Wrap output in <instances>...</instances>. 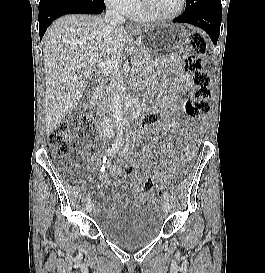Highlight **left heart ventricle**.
<instances>
[{"instance_id": "1", "label": "left heart ventricle", "mask_w": 265, "mask_h": 273, "mask_svg": "<svg viewBox=\"0 0 265 273\" xmlns=\"http://www.w3.org/2000/svg\"><path fill=\"white\" fill-rule=\"evenodd\" d=\"M149 10L156 15L167 16L176 12L181 0H146Z\"/></svg>"}]
</instances>
